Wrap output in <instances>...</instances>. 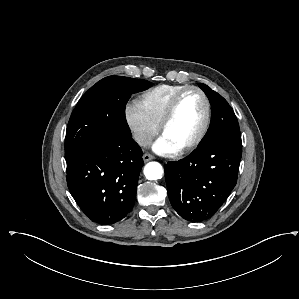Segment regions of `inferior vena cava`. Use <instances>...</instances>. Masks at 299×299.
<instances>
[{"label":"inferior vena cava","instance_id":"obj_1","mask_svg":"<svg viewBox=\"0 0 299 299\" xmlns=\"http://www.w3.org/2000/svg\"><path fill=\"white\" fill-rule=\"evenodd\" d=\"M134 139L136 142L141 146H147L150 145L152 142L151 136L145 134V133H135Z\"/></svg>","mask_w":299,"mask_h":299}]
</instances>
